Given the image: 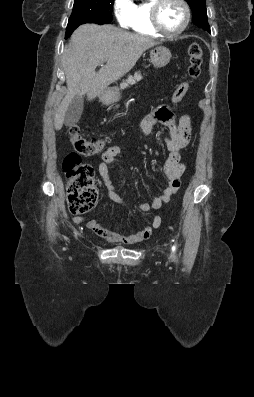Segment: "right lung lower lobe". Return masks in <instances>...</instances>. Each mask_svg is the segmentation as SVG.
<instances>
[{
	"instance_id": "1",
	"label": "right lung lower lobe",
	"mask_w": 254,
	"mask_h": 397,
	"mask_svg": "<svg viewBox=\"0 0 254 397\" xmlns=\"http://www.w3.org/2000/svg\"><path fill=\"white\" fill-rule=\"evenodd\" d=\"M78 26H79V25H74V26H71V27H67V28H66V37H65V39L69 38L70 35L72 34V32H73Z\"/></svg>"
}]
</instances>
